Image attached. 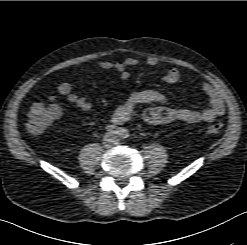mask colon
Listing matches in <instances>:
<instances>
[{
    "label": "colon",
    "instance_id": "1",
    "mask_svg": "<svg viewBox=\"0 0 247 245\" xmlns=\"http://www.w3.org/2000/svg\"><path fill=\"white\" fill-rule=\"evenodd\" d=\"M59 116L60 112L54 106L36 103L32 105L29 110L27 128L32 134H40L56 119H58ZM222 127L223 123L217 121L207 127V132L210 134H216L222 129Z\"/></svg>",
    "mask_w": 247,
    "mask_h": 245
}]
</instances>
